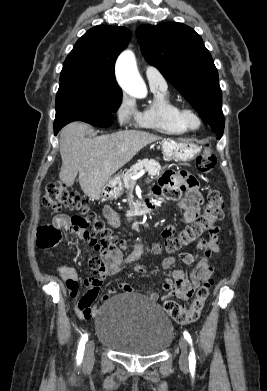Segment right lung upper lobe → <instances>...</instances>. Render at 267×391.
<instances>
[{
  "mask_svg": "<svg viewBox=\"0 0 267 391\" xmlns=\"http://www.w3.org/2000/svg\"><path fill=\"white\" fill-rule=\"evenodd\" d=\"M131 38L125 27L96 26L88 30L67 56L60 79L93 76L117 85L114 65Z\"/></svg>",
  "mask_w": 267,
  "mask_h": 391,
  "instance_id": "right-lung-upper-lobe-1",
  "label": "right lung upper lobe"
}]
</instances>
